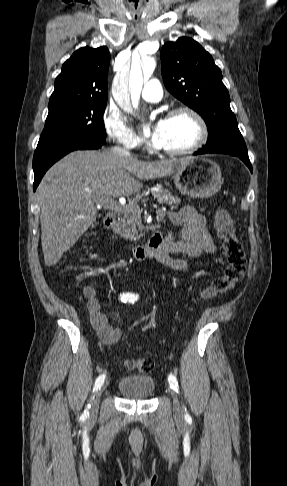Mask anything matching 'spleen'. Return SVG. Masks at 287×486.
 Here are the masks:
<instances>
[{
  "label": "spleen",
  "instance_id": "3e777b00",
  "mask_svg": "<svg viewBox=\"0 0 287 486\" xmlns=\"http://www.w3.org/2000/svg\"><path fill=\"white\" fill-rule=\"evenodd\" d=\"M241 209L244 210V211L248 210V204L245 201V199H242V201H241Z\"/></svg>",
  "mask_w": 287,
  "mask_h": 486
}]
</instances>
